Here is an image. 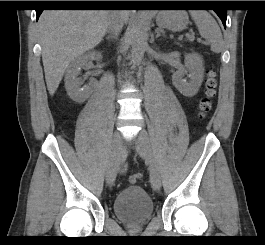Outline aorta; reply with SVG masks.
Returning <instances> with one entry per match:
<instances>
[{
  "label": "aorta",
  "instance_id": "762f6f07",
  "mask_svg": "<svg viewBox=\"0 0 265 245\" xmlns=\"http://www.w3.org/2000/svg\"><path fill=\"white\" fill-rule=\"evenodd\" d=\"M147 22L144 18L138 21L135 35L132 40L131 62L133 66H139L148 46Z\"/></svg>",
  "mask_w": 265,
  "mask_h": 245
}]
</instances>
